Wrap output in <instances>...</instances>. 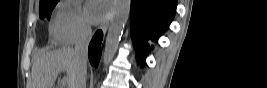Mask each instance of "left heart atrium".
<instances>
[{
	"label": "left heart atrium",
	"instance_id": "39dd6f15",
	"mask_svg": "<svg viewBox=\"0 0 267 88\" xmlns=\"http://www.w3.org/2000/svg\"><path fill=\"white\" fill-rule=\"evenodd\" d=\"M109 11L108 3L101 0H91L86 3L85 12L88 20L93 24L102 22Z\"/></svg>",
	"mask_w": 267,
	"mask_h": 88
}]
</instances>
